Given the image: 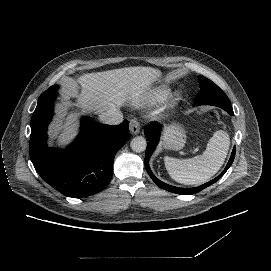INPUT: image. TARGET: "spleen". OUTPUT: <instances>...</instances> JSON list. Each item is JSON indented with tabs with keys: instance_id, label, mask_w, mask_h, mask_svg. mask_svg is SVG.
<instances>
[{
	"instance_id": "spleen-1",
	"label": "spleen",
	"mask_w": 271,
	"mask_h": 271,
	"mask_svg": "<svg viewBox=\"0 0 271 271\" xmlns=\"http://www.w3.org/2000/svg\"><path fill=\"white\" fill-rule=\"evenodd\" d=\"M230 146L229 135L216 131L210 138L202 155L180 160L165 156L166 170L172 179L185 185H200L207 182L223 165Z\"/></svg>"
}]
</instances>
